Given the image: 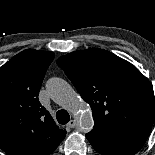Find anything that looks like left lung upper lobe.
Listing matches in <instances>:
<instances>
[{
    "mask_svg": "<svg viewBox=\"0 0 155 155\" xmlns=\"http://www.w3.org/2000/svg\"><path fill=\"white\" fill-rule=\"evenodd\" d=\"M57 64L91 106L93 129L153 124V86L131 63L109 51L90 48L61 56Z\"/></svg>",
    "mask_w": 155,
    "mask_h": 155,
    "instance_id": "5c2ea615",
    "label": "left lung upper lobe"
}]
</instances>
